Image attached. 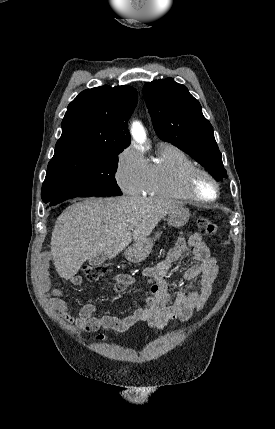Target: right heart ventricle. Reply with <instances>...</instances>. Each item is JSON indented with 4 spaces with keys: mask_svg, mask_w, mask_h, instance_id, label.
Listing matches in <instances>:
<instances>
[{
    "mask_svg": "<svg viewBox=\"0 0 275 429\" xmlns=\"http://www.w3.org/2000/svg\"><path fill=\"white\" fill-rule=\"evenodd\" d=\"M196 163L179 147L160 145L155 160L148 164V178L144 193L158 198L188 201L184 178Z\"/></svg>",
    "mask_w": 275,
    "mask_h": 429,
    "instance_id": "e07e8e85",
    "label": "right heart ventricle"
}]
</instances>
